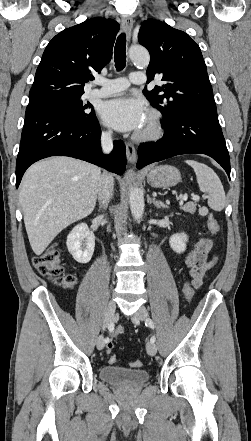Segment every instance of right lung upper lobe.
Wrapping results in <instances>:
<instances>
[{
	"label": "right lung upper lobe",
	"mask_w": 251,
	"mask_h": 441,
	"mask_svg": "<svg viewBox=\"0 0 251 441\" xmlns=\"http://www.w3.org/2000/svg\"><path fill=\"white\" fill-rule=\"evenodd\" d=\"M119 24L92 18L67 28L49 42L37 68L29 103L54 95H82L84 84L94 79L110 61Z\"/></svg>",
	"instance_id": "obj_1"
}]
</instances>
